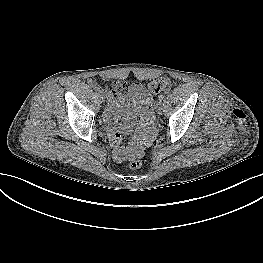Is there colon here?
Instances as JSON below:
<instances>
[{"mask_svg":"<svg viewBox=\"0 0 263 263\" xmlns=\"http://www.w3.org/2000/svg\"><path fill=\"white\" fill-rule=\"evenodd\" d=\"M168 87H169V84L165 80L158 79V80H154L151 82V88L153 89V91L155 93H158L160 91H164ZM139 98H140V102L145 105L144 109H145V112L147 113V115L152 116V105H151L150 100L144 101L141 97H139ZM109 131L112 133V135H111L112 144L115 146H118L124 138L123 135H121L118 132L113 131L111 127H109ZM142 156H143V147L140 146L139 152L131 157V159L129 161V167L131 169H139L143 164Z\"/></svg>","mask_w":263,"mask_h":263,"instance_id":"1","label":"colon"}]
</instances>
